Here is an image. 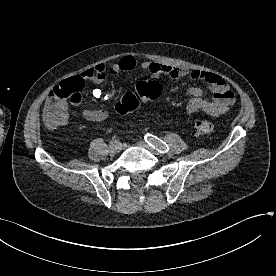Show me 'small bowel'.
Masks as SVG:
<instances>
[{"label":"small bowel","mask_w":276,"mask_h":276,"mask_svg":"<svg viewBox=\"0 0 276 276\" xmlns=\"http://www.w3.org/2000/svg\"><path fill=\"white\" fill-rule=\"evenodd\" d=\"M138 66L142 70L150 73L153 78L168 76L172 79L191 78L193 80L204 82L213 92V96L207 97L202 89L198 87H190L188 93L191 96V99L185 107V114L188 116L200 111L211 116H220L227 113L235 103V95L230 89V86L218 74L197 69L188 70L151 61H143L139 64L137 59L130 55L124 56L116 62L98 64L83 71L80 75L76 76V78L81 79L83 83L88 81L94 84H100L108 76H114L120 72L132 71ZM91 95L96 99H108L110 97L109 94L98 88L92 90ZM71 104L79 107L83 117L89 121L100 122L105 120L108 116V112L104 108H90L84 105L81 95L79 100L71 101ZM49 105L50 97L46 100L45 109H48Z\"/></svg>","instance_id":"obj_1"}]
</instances>
